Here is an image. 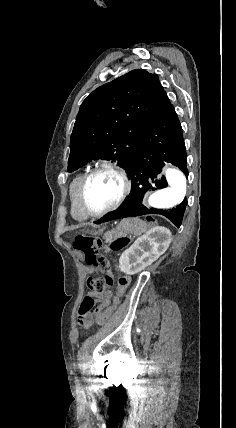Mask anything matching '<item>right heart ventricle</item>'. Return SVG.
Returning <instances> with one entry per match:
<instances>
[{
  "mask_svg": "<svg viewBox=\"0 0 236 428\" xmlns=\"http://www.w3.org/2000/svg\"><path fill=\"white\" fill-rule=\"evenodd\" d=\"M85 176L84 172L77 173L68 185V197L71 206V212L75 219L85 221L89 215L82 209L79 201V186Z\"/></svg>",
  "mask_w": 236,
  "mask_h": 428,
  "instance_id": "obj_1",
  "label": "right heart ventricle"
}]
</instances>
